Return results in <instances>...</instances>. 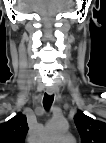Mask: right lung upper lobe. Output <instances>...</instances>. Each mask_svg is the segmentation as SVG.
Wrapping results in <instances>:
<instances>
[{
    "label": "right lung upper lobe",
    "instance_id": "cb5924a9",
    "mask_svg": "<svg viewBox=\"0 0 106 143\" xmlns=\"http://www.w3.org/2000/svg\"><path fill=\"white\" fill-rule=\"evenodd\" d=\"M28 129L25 115L17 113L7 122L0 124V143H25Z\"/></svg>",
    "mask_w": 106,
    "mask_h": 143
}]
</instances>
